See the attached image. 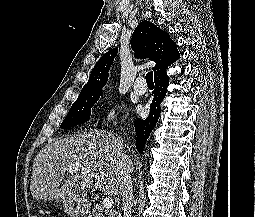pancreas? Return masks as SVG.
I'll list each match as a JSON object with an SVG mask.
<instances>
[{
  "label": "pancreas",
  "instance_id": "cf45deb5",
  "mask_svg": "<svg viewBox=\"0 0 255 217\" xmlns=\"http://www.w3.org/2000/svg\"><path fill=\"white\" fill-rule=\"evenodd\" d=\"M88 217H119L116 210L105 209L102 205L96 204Z\"/></svg>",
  "mask_w": 255,
  "mask_h": 217
}]
</instances>
